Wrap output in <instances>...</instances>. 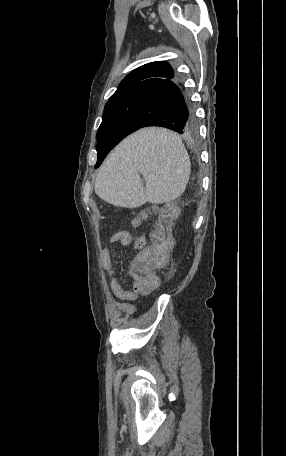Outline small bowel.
I'll return each instance as SVG.
<instances>
[{
    "label": "small bowel",
    "instance_id": "1",
    "mask_svg": "<svg viewBox=\"0 0 286 456\" xmlns=\"http://www.w3.org/2000/svg\"><path fill=\"white\" fill-rule=\"evenodd\" d=\"M116 234H118V237L116 239L111 238L112 243H120L124 246H128L132 243L134 249H141L145 246L146 238L143 236L136 237L132 242V237L128 232H118ZM101 261L104 269L110 277V287L117 299L125 303H135L139 294H148L147 291L136 290L134 285L132 290H127L122 286L113 267L112 252L109 247H105L101 251Z\"/></svg>",
    "mask_w": 286,
    "mask_h": 456
}]
</instances>
